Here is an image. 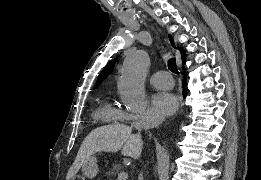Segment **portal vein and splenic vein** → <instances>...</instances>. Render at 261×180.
<instances>
[{"instance_id":"obj_1","label":"portal vein and splenic vein","mask_w":261,"mask_h":180,"mask_svg":"<svg viewBox=\"0 0 261 180\" xmlns=\"http://www.w3.org/2000/svg\"><path fill=\"white\" fill-rule=\"evenodd\" d=\"M117 180H128L127 172H121V174H119Z\"/></svg>"}]
</instances>
